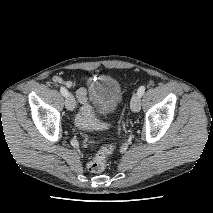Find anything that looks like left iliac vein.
I'll return each instance as SVG.
<instances>
[{
	"instance_id": "4c4485c4",
	"label": "left iliac vein",
	"mask_w": 213,
	"mask_h": 213,
	"mask_svg": "<svg viewBox=\"0 0 213 213\" xmlns=\"http://www.w3.org/2000/svg\"><path fill=\"white\" fill-rule=\"evenodd\" d=\"M130 106L133 112H139L141 108V96L138 95V93H135L132 96Z\"/></svg>"
}]
</instances>
